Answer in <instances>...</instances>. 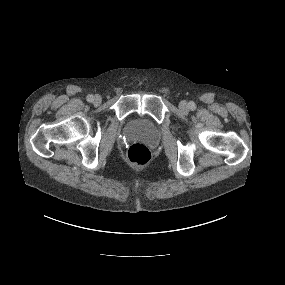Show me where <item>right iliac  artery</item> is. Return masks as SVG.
Instances as JSON below:
<instances>
[{"label":"right iliac artery","mask_w":285,"mask_h":285,"mask_svg":"<svg viewBox=\"0 0 285 285\" xmlns=\"http://www.w3.org/2000/svg\"><path fill=\"white\" fill-rule=\"evenodd\" d=\"M93 100H94V96L89 94V95L87 96V101H88V102H92Z\"/></svg>","instance_id":"obj_1"}]
</instances>
